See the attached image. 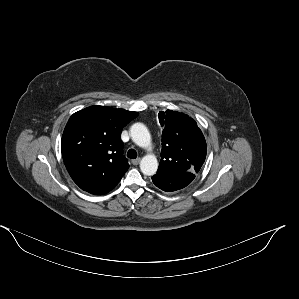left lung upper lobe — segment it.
I'll list each match as a JSON object with an SVG mask.
<instances>
[{
  "label": "left lung upper lobe",
  "instance_id": "obj_1",
  "mask_svg": "<svg viewBox=\"0 0 299 299\" xmlns=\"http://www.w3.org/2000/svg\"><path fill=\"white\" fill-rule=\"evenodd\" d=\"M159 121L164 130L157 173H198L205 161L207 146L196 122L188 115L172 110L161 111Z\"/></svg>",
  "mask_w": 299,
  "mask_h": 299
}]
</instances>
